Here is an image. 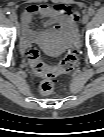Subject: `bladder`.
Listing matches in <instances>:
<instances>
[{
	"label": "bladder",
	"mask_w": 104,
	"mask_h": 137,
	"mask_svg": "<svg viewBox=\"0 0 104 137\" xmlns=\"http://www.w3.org/2000/svg\"><path fill=\"white\" fill-rule=\"evenodd\" d=\"M39 43L46 55L57 57L67 51L72 46L73 41L70 36L61 37L55 34L44 37Z\"/></svg>",
	"instance_id": "obj_1"
}]
</instances>
